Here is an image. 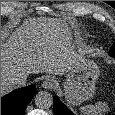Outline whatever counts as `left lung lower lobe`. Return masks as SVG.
Listing matches in <instances>:
<instances>
[{
  "label": "left lung lower lobe",
  "instance_id": "obj_1",
  "mask_svg": "<svg viewBox=\"0 0 115 115\" xmlns=\"http://www.w3.org/2000/svg\"><path fill=\"white\" fill-rule=\"evenodd\" d=\"M53 105L54 115H74L57 97L54 98Z\"/></svg>",
  "mask_w": 115,
  "mask_h": 115
}]
</instances>
